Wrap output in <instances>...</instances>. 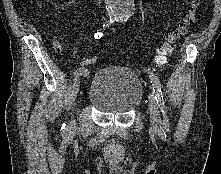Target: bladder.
Returning <instances> with one entry per match:
<instances>
[{
	"instance_id": "bladder-1",
	"label": "bladder",
	"mask_w": 221,
	"mask_h": 174,
	"mask_svg": "<svg viewBox=\"0 0 221 174\" xmlns=\"http://www.w3.org/2000/svg\"><path fill=\"white\" fill-rule=\"evenodd\" d=\"M143 86L136 73L120 65L99 69L93 76L87 94L89 103L103 113L124 114L138 107Z\"/></svg>"
}]
</instances>
